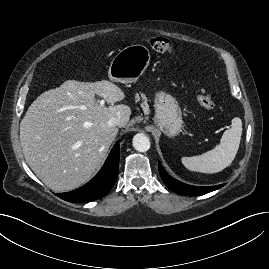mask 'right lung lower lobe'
<instances>
[{
    "label": "right lung lower lobe",
    "instance_id": "1",
    "mask_svg": "<svg viewBox=\"0 0 269 269\" xmlns=\"http://www.w3.org/2000/svg\"><path fill=\"white\" fill-rule=\"evenodd\" d=\"M119 169V143L111 150L99 173L86 185L66 193L57 194L68 202H90L104 197L113 187Z\"/></svg>",
    "mask_w": 269,
    "mask_h": 269
}]
</instances>
